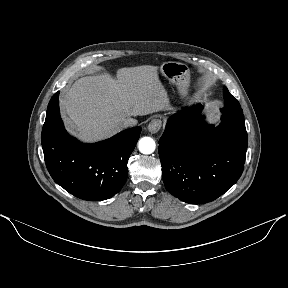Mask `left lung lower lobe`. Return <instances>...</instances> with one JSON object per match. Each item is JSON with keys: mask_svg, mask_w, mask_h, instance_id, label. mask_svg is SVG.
<instances>
[{"mask_svg": "<svg viewBox=\"0 0 288 288\" xmlns=\"http://www.w3.org/2000/svg\"><path fill=\"white\" fill-rule=\"evenodd\" d=\"M202 106L172 117L159 140L162 177L167 190L190 204L215 200L243 172L247 150L244 119L223 113L219 127L202 121Z\"/></svg>", "mask_w": 288, "mask_h": 288, "instance_id": "left-lung-lower-lobe-1", "label": "left lung lower lobe"}]
</instances>
